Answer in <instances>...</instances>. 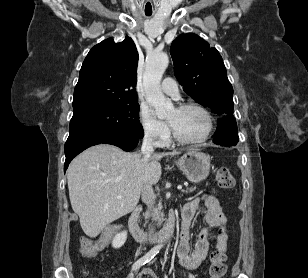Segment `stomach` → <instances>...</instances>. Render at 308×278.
<instances>
[{"label": "stomach", "mask_w": 308, "mask_h": 278, "mask_svg": "<svg viewBox=\"0 0 308 278\" xmlns=\"http://www.w3.org/2000/svg\"><path fill=\"white\" fill-rule=\"evenodd\" d=\"M175 163L191 182L199 183L209 175L210 158L197 150L188 151Z\"/></svg>", "instance_id": "1"}]
</instances>
